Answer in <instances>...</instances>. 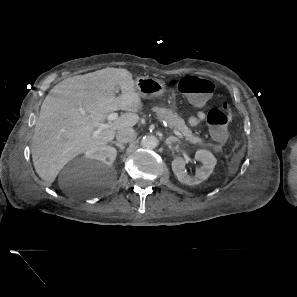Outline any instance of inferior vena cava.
I'll use <instances>...</instances> for the list:
<instances>
[{
	"label": "inferior vena cava",
	"mask_w": 297,
	"mask_h": 297,
	"mask_svg": "<svg viewBox=\"0 0 297 297\" xmlns=\"http://www.w3.org/2000/svg\"><path fill=\"white\" fill-rule=\"evenodd\" d=\"M136 132L133 128H124L117 131L116 139L119 143H128L136 138Z\"/></svg>",
	"instance_id": "602c4592"
}]
</instances>
